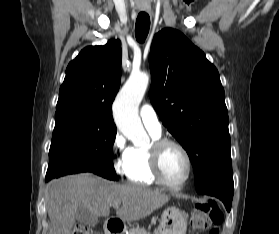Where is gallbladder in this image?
<instances>
[{
  "instance_id": "bac80fb5",
  "label": "gallbladder",
  "mask_w": 279,
  "mask_h": 234,
  "mask_svg": "<svg viewBox=\"0 0 279 234\" xmlns=\"http://www.w3.org/2000/svg\"><path fill=\"white\" fill-rule=\"evenodd\" d=\"M76 220L91 227H94L97 224V217L85 208L78 209Z\"/></svg>"
}]
</instances>
